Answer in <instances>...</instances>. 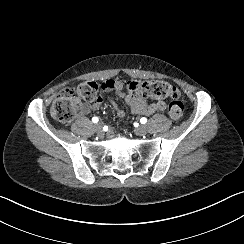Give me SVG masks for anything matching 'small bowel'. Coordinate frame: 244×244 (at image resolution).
Listing matches in <instances>:
<instances>
[{
	"instance_id": "obj_1",
	"label": "small bowel",
	"mask_w": 244,
	"mask_h": 244,
	"mask_svg": "<svg viewBox=\"0 0 244 244\" xmlns=\"http://www.w3.org/2000/svg\"><path fill=\"white\" fill-rule=\"evenodd\" d=\"M104 88L105 90L111 91L116 96L122 98L133 114L147 116L153 113L162 112L166 109V104L163 101L148 103L144 99L131 98L125 90V85L121 80H107L104 83ZM110 103L119 117H123L125 115L124 110L118 107L115 100L112 99ZM100 107L101 101L82 103L78 108V115L80 117H84L90 112L100 109Z\"/></svg>"
}]
</instances>
